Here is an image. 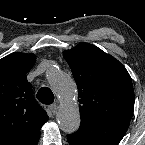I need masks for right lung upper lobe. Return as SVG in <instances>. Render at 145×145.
I'll use <instances>...</instances> for the list:
<instances>
[{
  "label": "right lung upper lobe",
  "instance_id": "obj_1",
  "mask_svg": "<svg viewBox=\"0 0 145 145\" xmlns=\"http://www.w3.org/2000/svg\"><path fill=\"white\" fill-rule=\"evenodd\" d=\"M36 56L15 52L0 59V145H21L48 120L33 97L26 74Z\"/></svg>",
  "mask_w": 145,
  "mask_h": 145
}]
</instances>
